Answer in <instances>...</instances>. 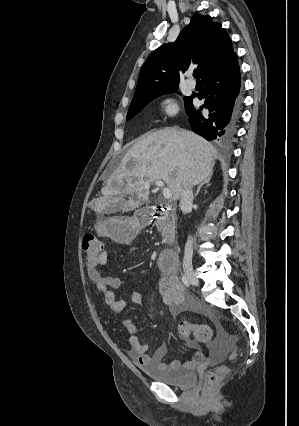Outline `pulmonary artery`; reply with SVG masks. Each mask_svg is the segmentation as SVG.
<instances>
[{
	"label": "pulmonary artery",
	"instance_id": "e3ab8cb5",
	"mask_svg": "<svg viewBox=\"0 0 299 426\" xmlns=\"http://www.w3.org/2000/svg\"><path fill=\"white\" fill-rule=\"evenodd\" d=\"M187 84L190 88H195L196 86V82L191 78L187 80Z\"/></svg>",
	"mask_w": 299,
	"mask_h": 426
}]
</instances>
